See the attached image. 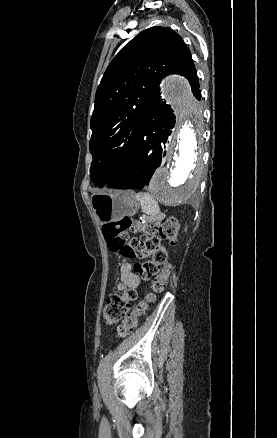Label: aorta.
Masks as SVG:
<instances>
[{
    "label": "aorta",
    "instance_id": "1",
    "mask_svg": "<svg viewBox=\"0 0 277 438\" xmlns=\"http://www.w3.org/2000/svg\"><path fill=\"white\" fill-rule=\"evenodd\" d=\"M164 92L176 109L177 125L168 145L166 165L155 172L149 189L161 202L175 205L189 199L199 186L202 116L182 77L168 79Z\"/></svg>",
    "mask_w": 277,
    "mask_h": 438
}]
</instances>
